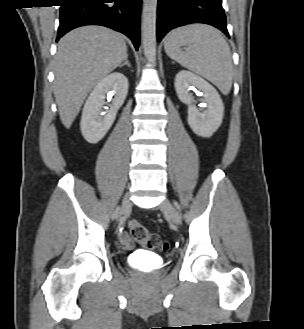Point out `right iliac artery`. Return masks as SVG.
I'll return each instance as SVG.
<instances>
[{"instance_id": "obj_1", "label": "right iliac artery", "mask_w": 304, "mask_h": 329, "mask_svg": "<svg viewBox=\"0 0 304 329\" xmlns=\"http://www.w3.org/2000/svg\"><path fill=\"white\" fill-rule=\"evenodd\" d=\"M119 210H120V208H117V209H116V211H115V213H114V217H117V216H118V214H119Z\"/></svg>"}]
</instances>
